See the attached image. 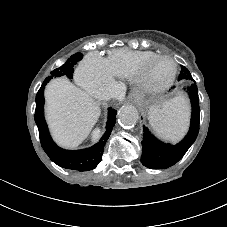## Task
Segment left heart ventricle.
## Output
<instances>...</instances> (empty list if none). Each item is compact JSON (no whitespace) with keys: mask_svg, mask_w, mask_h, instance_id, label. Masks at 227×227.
<instances>
[{"mask_svg":"<svg viewBox=\"0 0 227 227\" xmlns=\"http://www.w3.org/2000/svg\"><path fill=\"white\" fill-rule=\"evenodd\" d=\"M169 69V65L167 62L165 61H162L159 63L158 65V70L161 71V72H167Z\"/></svg>","mask_w":227,"mask_h":227,"instance_id":"left-heart-ventricle-1","label":"left heart ventricle"}]
</instances>
